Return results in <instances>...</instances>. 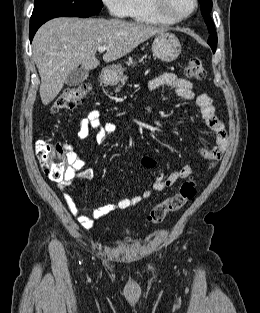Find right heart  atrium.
Here are the masks:
<instances>
[{"label":"right heart atrium","instance_id":"d8ad5b80","mask_svg":"<svg viewBox=\"0 0 260 313\" xmlns=\"http://www.w3.org/2000/svg\"><path fill=\"white\" fill-rule=\"evenodd\" d=\"M129 0H102L110 15L114 17H126Z\"/></svg>","mask_w":260,"mask_h":313}]
</instances>
